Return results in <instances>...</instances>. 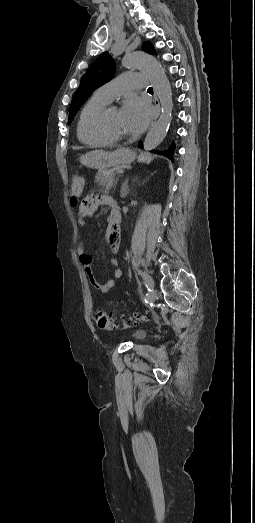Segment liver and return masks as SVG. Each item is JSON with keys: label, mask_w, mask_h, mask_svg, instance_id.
<instances>
[{"label": "liver", "mask_w": 255, "mask_h": 523, "mask_svg": "<svg viewBox=\"0 0 255 523\" xmlns=\"http://www.w3.org/2000/svg\"><path fill=\"white\" fill-rule=\"evenodd\" d=\"M99 154H108V152H103V150H95V152H90V154H86V156H83L81 160H83L84 166H88V168H93L95 166V160Z\"/></svg>", "instance_id": "liver-1"}]
</instances>
